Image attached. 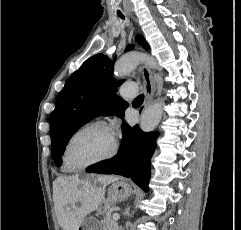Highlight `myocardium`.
I'll list each match as a JSON object with an SVG mask.
<instances>
[{"label": "myocardium", "instance_id": "f54148a6", "mask_svg": "<svg viewBox=\"0 0 241 230\" xmlns=\"http://www.w3.org/2000/svg\"><path fill=\"white\" fill-rule=\"evenodd\" d=\"M95 127L103 128V129L110 131L106 122L101 121V120H96V121L88 122V123L84 124L83 126H81L68 139V141L64 147V151H63V161L69 170H71V171L82 170V169L91 167L96 164L107 162V161L113 159L117 155L118 150H119V145H118V142L116 141V139L113 137V147H112L111 151L108 154H106L105 156L92 160L90 162L78 165V166H74L70 163V161L68 159V153H69L70 145L73 142V140L75 139V137L77 135H79L81 132H83L87 129H90V128H95Z\"/></svg>", "mask_w": 241, "mask_h": 230}]
</instances>
